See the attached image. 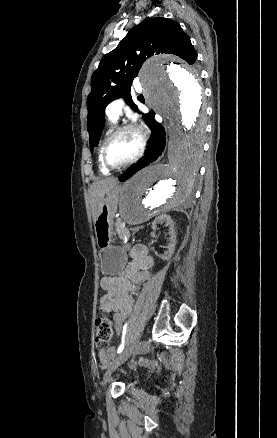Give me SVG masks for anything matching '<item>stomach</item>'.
I'll return each instance as SVG.
<instances>
[{
	"mask_svg": "<svg viewBox=\"0 0 277 438\" xmlns=\"http://www.w3.org/2000/svg\"><path fill=\"white\" fill-rule=\"evenodd\" d=\"M121 198V188L114 186L104 198L101 212L94 223L97 244L100 247L101 270L105 275H117L126 265L127 254L123 246L112 245L114 216Z\"/></svg>",
	"mask_w": 277,
	"mask_h": 438,
	"instance_id": "0dacf381",
	"label": "stomach"
}]
</instances>
